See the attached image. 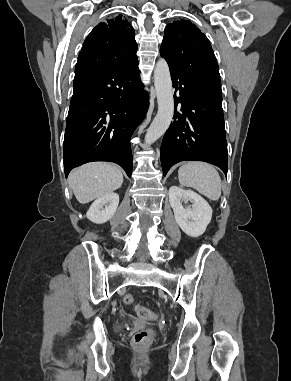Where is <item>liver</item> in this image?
Listing matches in <instances>:
<instances>
[{"label": "liver", "mask_w": 291, "mask_h": 381, "mask_svg": "<svg viewBox=\"0 0 291 381\" xmlns=\"http://www.w3.org/2000/svg\"><path fill=\"white\" fill-rule=\"evenodd\" d=\"M122 183L121 170L115 165L103 162L85 164L69 176V185L81 204L112 193L120 188Z\"/></svg>", "instance_id": "1"}]
</instances>
